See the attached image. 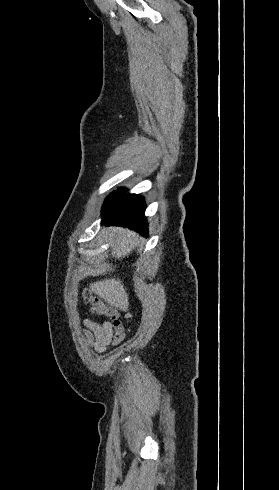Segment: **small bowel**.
<instances>
[{"label":"small bowel","instance_id":"c3829d8e","mask_svg":"<svg viewBox=\"0 0 279 490\" xmlns=\"http://www.w3.org/2000/svg\"><path fill=\"white\" fill-rule=\"evenodd\" d=\"M83 336L85 341L96 351L105 352L114 339V328L107 320L98 323L91 319H85Z\"/></svg>","mask_w":279,"mask_h":490}]
</instances>
